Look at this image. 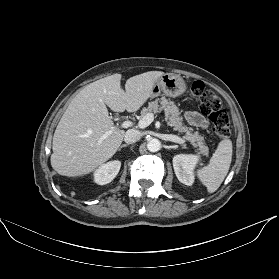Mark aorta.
I'll return each mask as SVG.
<instances>
[{"label": "aorta", "mask_w": 279, "mask_h": 279, "mask_svg": "<svg viewBox=\"0 0 279 279\" xmlns=\"http://www.w3.org/2000/svg\"><path fill=\"white\" fill-rule=\"evenodd\" d=\"M160 148H161V142L156 138H152L147 142V149L150 152H157L160 150Z\"/></svg>", "instance_id": "aorta-1"}]
</instances>
